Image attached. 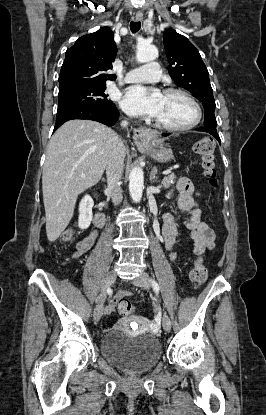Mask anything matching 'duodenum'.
I'll use <instances>...</instances> for the list:
<instances>
[{"instance_id": "obj_1", "label": "duodenum", "mask_w": 266, "mask_h": 415, "mask_svg": "<svg viewBox=\"0 0 266 415\" xmlns=\"http://www.w3.org/2000/svg\"><path fill=\"white\" fill-rule=\"evenodd\" d=\"M94 223L98 227H102L105 224V215L102 212H96L94 216Z\"/></svg>"}]
</instances>
